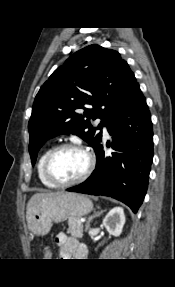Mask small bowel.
Segmentation results:
<instances>
[{"label": "small bowel", "instance_id": "c3829d8e", "mask_svg": "<svg viewBox=\"0 0 175 287\" xmlns=\"http://www.w3.org/2000/svg\"><path fill=\"white\" fill-rule=\"evenodd\" d=\"M55 241L60 248L59 256L62 259H70L72 257L77 259L86 258L87 248L80 244L75 238L60 233L56 235Z\"/></svg>", "mask_w": 175, "mask_h": 287}]
</instances>
